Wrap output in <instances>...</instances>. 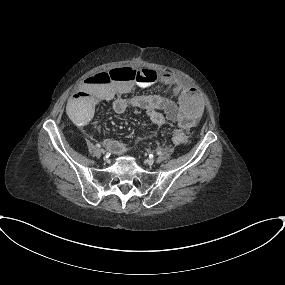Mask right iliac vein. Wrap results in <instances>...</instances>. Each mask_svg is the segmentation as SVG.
I'll list each match as a JSON object with an SVG mask.
<instances>
[{
  "label": "right iliac vein",
  "mask_w": 285,
  "mask_h": 285,
  "mask_svg": "<svg viewBox=\"0 0 285 285\" xmlns=\"http://www.w3.org/2000/svg\"><path fill=\"white\" fill-rule=\"evenodd\" d=\"M105 152H106V151H105L103 148L99 149V153H100V154H105Z\"/></svg>",
  "instance_id": "obj_1"
}]
</instances>
